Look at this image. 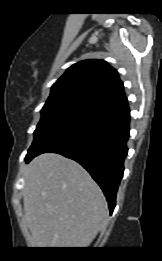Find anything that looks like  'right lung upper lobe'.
<instances>
[{
    "mask_svg": "<svg viewBox=\"0 0 162 261\" xmlns=\"http://www.w3.org/2000/svg\"><path fill=\"white\" fill-rule=\"evenodd\" d=\"M79 92L103 105L125 97L117 71L107 62L89 59L72 65L53 84L51 95Z\"/></svg>",
    "mask_w": 162,
    "mask_h": 261,
    "instance_id": "cb5924a9",
    "label": "right lung upper lobe"
}]
</instances>
